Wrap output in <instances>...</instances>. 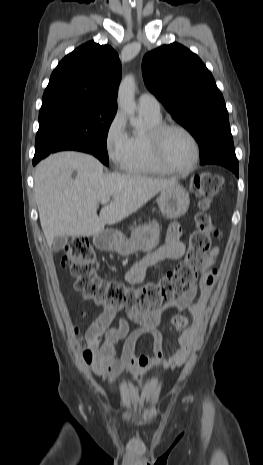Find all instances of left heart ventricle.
I'll list each match as a JSON object with an SVG mask.
<instances>
[{
	"label": "left heart ventricle",
	"instance_id": "obj_1",
	"mask_svg": "<svg viewBox=\"0 0 263 465\" xmlns=\"http://www.w3.org/2000/svg\"><path fill=\"white\" fill-rule=\"evenodd\" d=\"M163 153L171 166L186 168L192 163L195 150L187 135L178 130H170L163 140Z\"/></svg>",
	"mask_w": 263,
	"mask_h": 465
}]
</instances>
